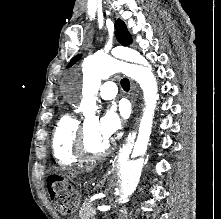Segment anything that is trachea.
Returning a JSON list of instances; mask_svg holds the SVG:
<instances>
[{
  "mask_svg": "<svg viewBox=\"0 0 221 219\" xmlns=\"http://www.w3.org/2000/svg\"><path fill=\"white\" fill-rule=\"evenodd\" d=\"M122 88L125 90V91H129L130 89V82L127 78H123L120 82Z\"/></svg>",
  "mask_w": 221,
  "mask_h": 219,
  "instance_id": "obj_1",
  "label": "trachea"
}]
</instances>
